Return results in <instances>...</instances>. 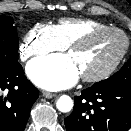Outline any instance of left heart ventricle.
<instances>
[{
	"label": "left heart ventricle",
	"mask_w": 131,
	"mask_h": 131,
	"mask_svg": "<svg viewBox=\"0 0 131 131\" xmlns=\"http://www.w3.org/2000/svg\"><path fill=\"white\" fill-rule=\"evenodd\" d=\"M124 38L108 32L94 37L85 46L70 51L80 74H95L105 69L121 52Z\"/></svg>",
	"instance_id": "b2bd125f"
}]
</instances>
